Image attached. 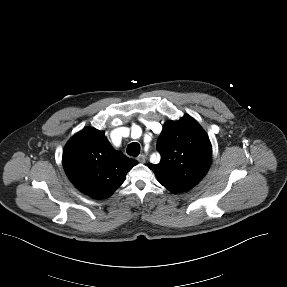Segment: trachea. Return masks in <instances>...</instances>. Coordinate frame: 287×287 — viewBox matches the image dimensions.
Here are the masks:
<instances>
[{"mask_svg":"<svg viewBox=\"0 0 287 287\" xmlns=\"http://www.w3.org/2000/svg\"><path fill=\"white\" fill-rule=\"evenodd\" d=\"M140 153V145L137 142H133L127 147V154L130 156H138Z\"/></svg>","mask_w":287,"mask_h":287,"instance_id":"obj_1","label":"trachea"}]
</instances>
